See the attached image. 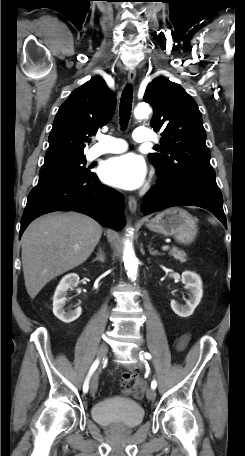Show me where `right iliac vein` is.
I'll return each instance as SVG.
<instances>
[{"label":"right iliac vein","instance_id":"1","mask_svg":"<svg viewBox=\"0 0 245 456\" xmlns=\"http://www.w3.org/2000/svg\"><path fill=\"white\" fill-rule=\"evenodd\" d=\"M108 347L105 343H102L98 349L97 357L99 360H103L107 355ZM98 388V376L97 374L93 377L91 384H90V393L94 395Z\"/></svg>","mask_w":245,"mask_h":456}]
</instances>
